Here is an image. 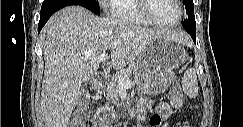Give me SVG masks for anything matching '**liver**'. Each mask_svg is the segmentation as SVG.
Instances as JSON below:
<instances>
[{"label": "liver", "mask_w": 243, "mask_h": 127, "mask_svg": "<svg viewBox=\"0 0 243 127\" xmlns=\"http://www.w3.org/2000/svg\"><path fill=\"white\" fill-rule=\"evenodd\" d=\"M157 38L189 42L183 31L148 29L101 18L81 6L55 13L40 34L45 60L40 105L45 127H67L83 83L96 75L101 54L110 51L107 64L123 69Z\"/></svg>", "instance_id": "liver-1"}]
</instances>
